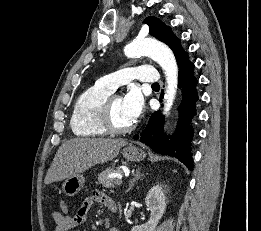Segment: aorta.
I'll list each match as a JSON object with an SVG mask.
<instances>
[{
    "label": "aorta",
    "mask_w": 261,
    "mask_h": 231,
    "mask_svg": "<svg viewBox=\"0 0 261 231\" xmlns=\"http://www.w3.org/2000/svg\"><path fill=\"white\" fill-rule=\"evenodd\" d=\"M124 52L129 58L141 55L149 56L162 67L167 84L163 110L164 114L167 115L173 105L178 84V67L171 49L159 42L134 40L125 47Z\"/></svg>",
    "instance_id": "1"
}]
</instances>
